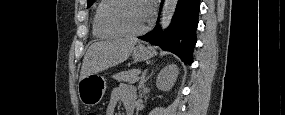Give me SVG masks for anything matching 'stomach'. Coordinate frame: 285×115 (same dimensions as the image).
I'll list each match as a JSON object with an SVG mask.
<instances>
[{
  "label": "stomach",
  "mask_w": 285,
  "mask_h": 115,
  "mask_svg": "<svg viewBox=\"0 0 285 115\" xmlns=\"http://www.w3.org/2000/svg\"><path fill=\"white\" fill-rule=\"evenodd\" d=\"M154 55V51L143 45L133 49L132 56L135 61H145ZM107 85L106 80L97 74H90L79 80L78 95L80 101L86 106H95L102 100Z\"/></svg>",
  "instance_id": "0dacf381"
}]
</instances>
